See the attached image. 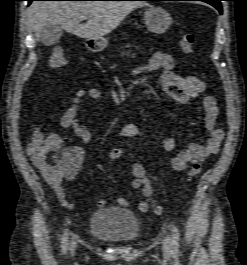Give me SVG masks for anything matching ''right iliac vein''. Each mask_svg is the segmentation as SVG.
<instances>
[{"label":"right iliac vein","instance_id":"right-iliac-vein-1","mask_svg":"<svg viewBox=\"0 0 247 265\" xmlns=\"http://www.w3.org/2000/svg\"><path fill=\"white\" fill-rule=\"evenodd\" d=\"M70 250H71V253L73 254L74 250H75V242L74 241H72L70 244Z\"/></svg>","mask_w":247,"mask_h":265}]
</instances>
